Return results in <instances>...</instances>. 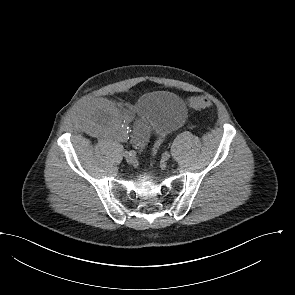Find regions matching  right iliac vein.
Segmentation results:
<instances>
[{"label": "right iliac vein", "instance_id": "1", "mask_svg": "<svg viewBox=\"0 0 295 295\" xmlns=\"http://www.w3.org/2000/svg\"><path fill=\"white\" fill-rule=\"evenodd\" d=\"M124 157H125L128 164H133L135 162L134 156H130V155L124 153Z\"/></svg>", "mask_w": 295, "mask_h": 295}]
</instances>
